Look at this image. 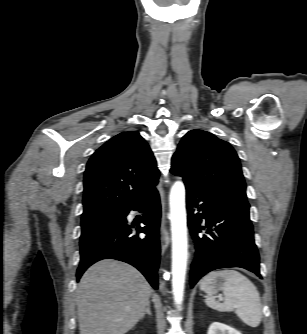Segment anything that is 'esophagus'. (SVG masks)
Returning <instances> with one entry per match:
<instances>
[{
  "label": "esophagus",
  "mask_w": 307,
  "mask_h": 334,
  "mask_svg": "<svg viewBox=\"0 0 307 334\" xmlns=\"http://www.w3.org/2000/svg\"><path fill=\"white\" fill-rule=\"evenodd\" d=\"M162 232H163V228L161 227V234H162ZM161 240H162V243H163V241H164L163 237L161 238Z\"/></svg>",
  "instance_id": "obj_1"
}]
</instances>
